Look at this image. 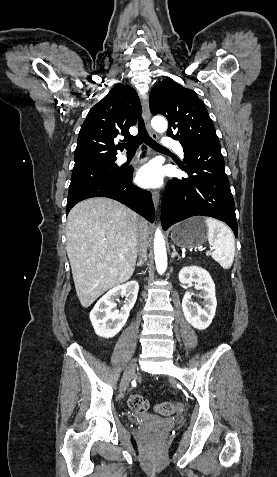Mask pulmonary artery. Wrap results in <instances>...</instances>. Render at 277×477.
Masks as SVG:
<instances>
[{"mask_svg":"<svg viewBox=\"0 0 277 477\" xmlns=\"http://www.w3.org/2000/svg\"><path fill=\"white\" fill-rule=\"evenodd\" d=\"M165 144L173 149L180 157H184V150L182 145L179 142L173 141V140H166ZM118 163H125L127 161V157L122 155L119 156L117 159Z\"/></svg>","mask_w":277,"mask_h":477,"instance_id":"obj_1","label":"pulmonary artery"}]
</instances>
